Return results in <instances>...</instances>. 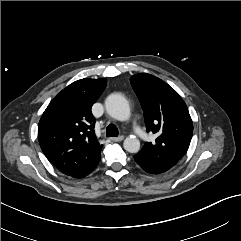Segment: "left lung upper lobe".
<instances>
[{"mask_svg": "<svg viewBox=\"0 0 241 241\" xmlns=\"http://www.w3.org/2000/svg\"><path fill=\"white\" fill-rule=\"evenodd\" d=\"M142 105L147 131L157 134L154 143L146 142L134 156L146 169L169 170L187 152L193 124L181 96L163 80L141 73L130 78Z\"/></svg>", "mask_w": 241, "mask_h": 241, "instance_id": "5c2ea615", "label": "left lung upper lobe"}]
</instances>
